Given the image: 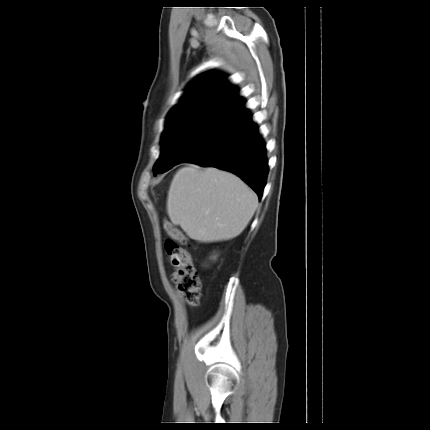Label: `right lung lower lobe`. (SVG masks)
Masks as SVG:
<instances>
[{"instance_id":"obj_1","label":"right lung lower lobe","mask_w":430,"mask_h":430,"mask_svg":"<svg viewBox=\"0 0 430 430\" xmlns=\"http://www.w3.org/2000/svg\"><path fill=\"white\" fill-rule=\"evenodd\" d=\"M185 162L232 172L262 197L269 168L266 147L249 113Z\"/></svg>"}]
</instances>
